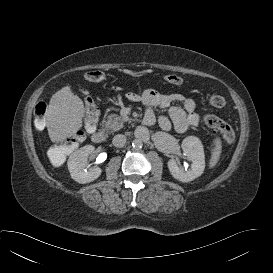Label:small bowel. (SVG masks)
<instances>
[{"instance_id":"obj_1","label":"small bowel","mask_w":273,"mask_h":273,"mask_svg":"<svg viewBox=\"0 0 273 273\" xmlns=\"http://www.w3.org/2000/svg\"><path fill=\"white\" fill-rule=\"evenodd\" d=\"M128 97L141 101L146 106L145 116H152L151 124L156 120L154 108H168L169 117H158V124L164 131L174 128L177 132L183 133L189 127L199 124L195 101L181 94H162L155 90H146L141 95L129 94ZM174 101L181 102L183 106L173 105Z\"/></svg>"}]
</instances>
